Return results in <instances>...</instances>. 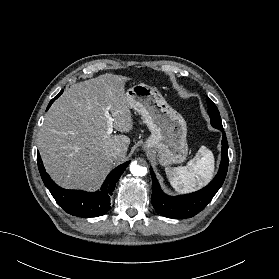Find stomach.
<instances>
[{"label":"stomach","mask_w":279,"mask_h":279,"mask_svg":"<svg viewBox=\"0 0 279 279\" xmlns=\"http://www.w3.org/2000/svg\"><path fill=\"white\" fill-rule=\"evenodd\" d=\"M130 107L137 111L151 135L144 150L157 152L162 165L183 162L188 153L187 125L154 87L139 83L126 92Z\"/></svg>","instance_id":"stomach-1"}]
</instances>
